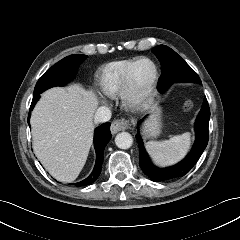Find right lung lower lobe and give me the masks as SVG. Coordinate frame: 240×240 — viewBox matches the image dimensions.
I'll list each match as a JSON object with an SVG mask.
<instances>
[{
  "instance_id": "right-lung-lower-lobe-1",
  "label": "right lung lower lobe",
  "mask_w": 240,
  "mask_h": 240,
  "mask_svg": "<svg viewBox=\"0 0 240 240\" xmlns=\"http://www.w3.org/2000/svg\"><path fill=\"white\" fill-rule=\"evenodd\" d=\"M39 97H40L39 94L33 95V100H32L31 106H30V111L35 106ZM29 118H30V116L28 117V124H29ZM110 125L111 124L109 122H107L96 129L95 135H94V147L96 150L95 167H94L92 173L86 179H84L78 183H74V185H76L78 187L89 185V184L93 183L100 175L101 167H102V163H103V151H104L105 146L111 139Z\"/></svg>"
}]
</instances>
